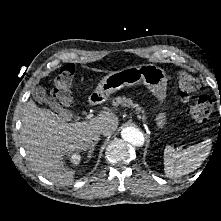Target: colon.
Masks as SVG:
<instances>
[{
    "label": "colon",
    "instance_id": "1",
    "mask_svg": "<svg viewBox=\"0 0 221 221\" xmlns=\"http://www.w3.org/2000/svg\"><path fill=\"white\" fill-rule=\"evenodd\" d=\"M75 67L73 64L64 65L54 79L52 98L61 106L70 108L73 106L71 86L74 78ZM179 96L189 116L196 122L206 121L212 110L213 104L208 96L193 99V94L199 88V82L193 76L182 72L177 76Z\"/></svg>",
    "mask_w": 221,
    "mask_h": 221
}]
</instances>
